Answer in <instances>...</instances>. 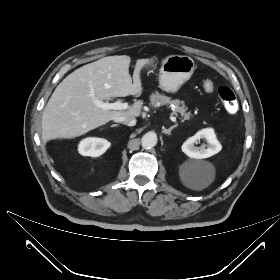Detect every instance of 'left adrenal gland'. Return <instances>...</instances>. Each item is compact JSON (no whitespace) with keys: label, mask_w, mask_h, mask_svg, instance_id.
I'll use <instances>...</instances> for the list:
<instances>
[{"label":"left adrenal gland","mask_w":280,"mask_h":280,"mask_svg":"<svg viewBox=\"0 0 280 280\" xmlns=\"http://www.w3.org/2000/svg\"><path fill=\"white\" fill-rule=\"evenodd\" d=\"M175 127H177V124L171 126L169 129H163L162 132H163L164 134L170 135L171 131H172Z\"/></svg>","instance_id":"1"}]
</instances>
